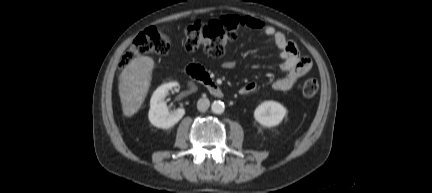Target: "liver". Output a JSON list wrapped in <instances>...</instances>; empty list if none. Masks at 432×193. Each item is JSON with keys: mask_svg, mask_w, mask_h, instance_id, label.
<instances>
[{"mask_svg": "<svg viewBox=\"0 0 432 193\" xmlns=\"http://www.w3.org/2000/svg\"><path fill=\"white\" fill-rule=\"evenodd\" d=\"M154 66L152 58L134 59L119 76V96L123 114L133 116L142 106L148 93Z\"/></svg>", "mask_w": 432, "mask_h": 193, "instance_id": "obj_1", "label": "liver"}]
</instances>
